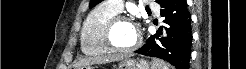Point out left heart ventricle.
Masks as SVG:
<instances>
[{
	"label": "left heart ventricle",
	"instance_id": "b2bd125f",
	"mask_svg": "<svg viewBox=\"0 0 246 69\" xmlns=\"http://www.w3.org/2000/svg\"><path fill=\"white\" fill-rule=\"evenodd\" d=\"M137 37L134 25L130 21H122L116 25L111 40L118 47H129L136 42Z\"/></svg>",
	"mask_w": 246,
	"mask_h": 69
}]
</instances>
